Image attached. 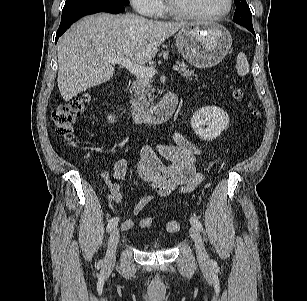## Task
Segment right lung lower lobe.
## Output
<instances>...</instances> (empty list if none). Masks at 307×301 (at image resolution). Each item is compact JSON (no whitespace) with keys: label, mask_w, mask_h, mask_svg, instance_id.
Segmentation results:
<instances>
[{"label":"right lung lower lobe","mask_w":307,"mask_h":301,"mask_svg":"<svg viewBox=\"0 0 307 301\" xmlns=\"http://www.w3.org/2000/svg\"><path fill=\"white\" fill-rule=\"evenodd\" d=\"M125 11L123 5L116 4H95L91 6H87L78 10H74L65 14H62L61 23L56 33L55 42L59 39V37L70 27L72 23H74L79 18L90 15L98 12H109L113 14L121 13Z\"/></svg>","instance_id":"obj_1"}]
</instances>
